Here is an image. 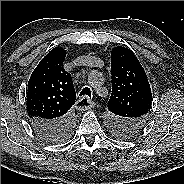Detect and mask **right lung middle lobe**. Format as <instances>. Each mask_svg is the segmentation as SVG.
<instances>
[{
    "label": "right lung middle lobe",
    "mask_w": 184,
    "mask_h": 184,
    "mask_svg": "<svg viewBox=\"0 0 184 184\" xmlns=\"http://www.w3.org/2000/svg\"><path fill=\"white\" fill-rule=\"evenodd\" d=\"M73 126L74 125H72L67 131L60 133V135H57L54 138H51L50 140H47L44 138L43 139L47 142H52V143L64 141L70 136V134L73 130Z\"/></svg>",
    "instance_id": "1"
}]
</instances>
